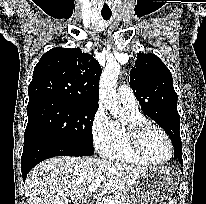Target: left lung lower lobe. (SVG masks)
<instances>
[{
  "label": "left lung lower lobe",
  "instance_id": "obj_1",
  "mask_svg": "<svg viewBox=\"0 0 206 204\" xmlns=\"http://www.w3.org/2000/svg\"><path fill=\"white\" fill-rule=\"evenodd\" d=\"M175 157L178 158L180 164L182 165L183 164L182 153L176 154Z\"/></svg>",
  "mask_w": 206,
  "mask_h": 204
}]
</instances>
